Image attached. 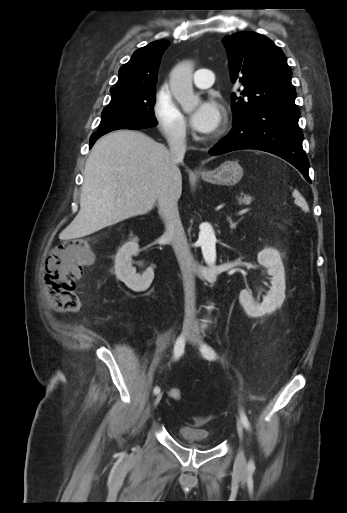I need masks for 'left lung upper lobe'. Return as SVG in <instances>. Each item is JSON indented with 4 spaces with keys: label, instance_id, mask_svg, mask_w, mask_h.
Returning <instances> with one entry per match:
<instances>
[{
    "label": "left lung upper lobe",
    "instance_id": "5c2ea615",
    "mask_svg": "<svg viewBox=\"0 0 347 513\" xmlns=\"http://www.w3.org/2000/svg\"><path fill=\"white\" fill-rule=\"evenodd\" d=\"M231 79L243 85L242 96L232 94L234 120L270 105L296 106L292 72L283 51L269 38L240 32L223 39Z\"/></svg>",
    "mask_w": 347,
    "mask_h": 513
}]
</instances>
